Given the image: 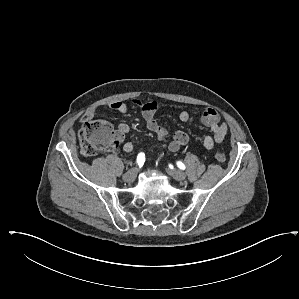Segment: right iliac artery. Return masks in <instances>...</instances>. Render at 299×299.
Returning a JSON list of instances; mask_svg holds the SVG:
<instances>
[{
	"label": "right iliac artery",
	"mask_w": 299,
	"mask_h": 299,
	"mask_svg": "<svg viewBox=\"0 0 299 299\" xmlns=\"http://www.w3.org/2000/svg\"><path fill=\"white\" fill-rule=\"evenodd\" d=\"M136 162L139 166H142L145 162V154L144 153H139L136 159Z\"/></svg>",
	"instance_id": "obj_1"
}]
</instances>
